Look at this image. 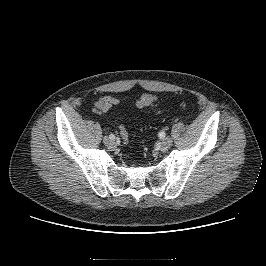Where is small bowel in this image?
I'll return each mask as SVG.
<instances>
[{"mask_svg":"<svg viewBox=\"0 0 266 266\" xmlns=\"http://www.w3.org/2000/svg\"><path fill=\"white\" fill-rule=\"evenodd\" d=\"M118 103L119 101L117 98L111 96H104L97 101L96 107L101 112H107L108 110L112 109L114 106L118 105Z\"/></svg>","mask_w":266,"mask_h":266,"instance_id":"obj_1","label":"small bowel"}]
</instances>
